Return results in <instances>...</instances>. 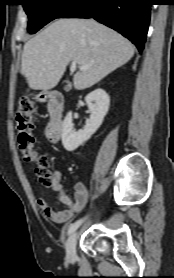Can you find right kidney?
Wrapping results in <instances>:
<instances>
[{"label": "right kidney", "mask_w": 174, "mask_h": 278, "mask_svg": "<svg viewBox=\"0 0 174 278\" xmlns=\"http://www.w3.org/2000/svg\"><path fill=\"white\" fill-rule=\"evenodd\" d=\"M91 113L83 130L75 131L72 112H68L62 125V144L67 151H74L98 130L109 110L110 98L105 90L98 88L85 97Z\"/></svg>", "instance_id": "ca27d5eb"}]
</instances>
